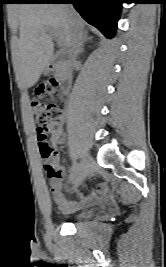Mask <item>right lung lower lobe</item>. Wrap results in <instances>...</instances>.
<instances>
[{"mask_svg": "<svg viewBox=\"0 0 166 267\" xmlns=\"http://www.w3.org/2000/svg\"><path fill=\"white\" fill-rule=\"evenodd\" d=\"M20 3H72L81 16L107 38L116 32L121 0H25Z\"/></svg>", "mask_w": 166, "mask_h": 267, "instance_id": "98d812e1", "label": "right lung lower lobe"}]
</instances>
